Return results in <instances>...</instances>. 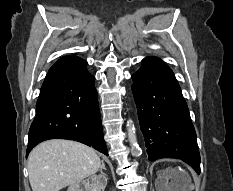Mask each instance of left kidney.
<instances>
[{
  "label": "left kidney",
  "instance_id": "1",
  "mask_svg": "<svg viewBox=\"0 0 233 191\" xmlns=\"http://www.w3.org/2000/svg\"><path fill=\"white\" fill-rule=\"evenodd\" d=\"M169 178L172 179V175L170 173H166V176H165V180H166V185H167V188L169 189L168 191H179L178 188H180V184L179 183H174V184H168V180Z\"/></svg>",
  "mask_w": 233,
  "mask_h": 191
}]
</instances>
